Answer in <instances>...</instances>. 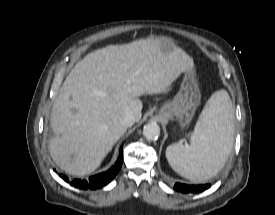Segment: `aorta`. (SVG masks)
<instances>
[{
  "label": "aorta",
  "mask_w": 275,
  "mask_h": 215,
  "mask_svg": "<svg viewBox=\"0 0 275 215\" xmlns=\"http://www.w3.org/2000/svg\"><path fill=\"white\" fill-rule=\"evenodd\" d=\"M143 135L147 140L157 139L160 135V127L155 122L147 123L143 127Z\"/></svg>",
  "instance_id": "762f6f07"
}]
</instances>
